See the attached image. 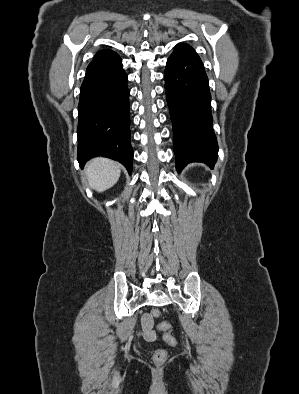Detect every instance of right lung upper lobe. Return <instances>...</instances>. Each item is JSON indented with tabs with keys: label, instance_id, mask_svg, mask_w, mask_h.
<instances>
[{
	"label": "right lung upper lobe",
	"instance_id": "cb5924a9",
	"mask_svg": "<svg viewBox=\"0 0 299 394\" xmlns=\"http://www.w3.org/2000/svg\"><path fill=\"white\" fill-rule=\"evenodd\" d=\"M111 54H116V53L112 50L106 49V50H102V51L97 52V54L95 55L94 58H98V57H102V56H106V55H111Z\"/></svg>",
	"mask_w": 299,
	"mask_h": 394
}]
</instances>
